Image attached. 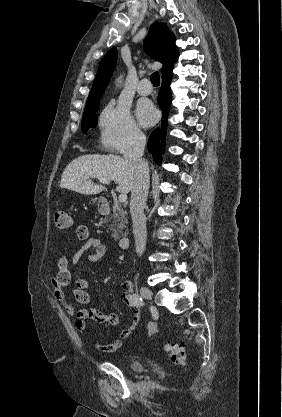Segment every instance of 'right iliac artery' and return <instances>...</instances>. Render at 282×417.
I'll use <instances>...</instances> for the list:
<instances>
[{
	"instance_id": "82829eb1",
	"label": "right iliac artery",
	"mask_w": 282,
	"mask_h": 417,
	"mask_svg": "<svg viewBox=\"0 0 282 417\" xmlns=\"http://www.w3.org/2000/svg\"><path fill=\"white\" fill-rule=\"evenodd\" d=\"M132 302L134 305L138 307H141L144 305L143 299L138 293H135L132 295Z\"/></svg>"
}]
</instances>
